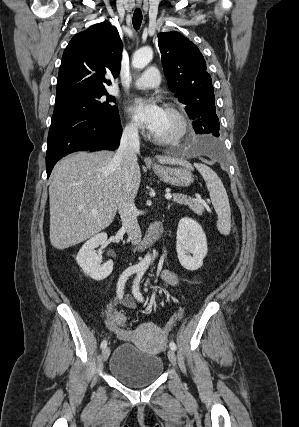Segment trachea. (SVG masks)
Masks as SVG:
<instances>
[{
	"instance_id": "1",
	"label": "trachea",
	"mask_w": 299,
	"mask_h": 427,
	"mask_svg": "<svg viewBox=\"0 0 299 427\" xmlns=\"http://www.w3.org/2000/svg\"><path fill=\"white\" fill-rule=\"evenodd\" d=\"M142 23V11L137 8L133 14V26L135 30H138Z\"/></svg>"
}]
</instances>
